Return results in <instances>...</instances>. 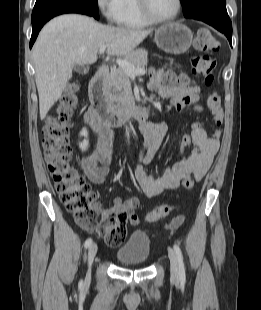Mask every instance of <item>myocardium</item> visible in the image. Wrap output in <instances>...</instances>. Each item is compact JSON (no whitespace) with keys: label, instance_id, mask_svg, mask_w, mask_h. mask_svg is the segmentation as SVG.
Listing matches in <instances>:
<instances>
[{"label":"myocardium","instance_id":"1","mask_svg":"<svg viewBox=\"0 0 261 310\" xmlns=\"http://www.w3.org/2000/svg\"><path fill=\"white\" fill-rule=\"evenodd\" d=\"M138 8L145 20L151 24H164L174 21L180 14L182 9V0H176V10L175 12L167 18H156L149 9L148 0H137Z\"/></svg>","mask_w":261,"mask_h":310}]
</instances>
